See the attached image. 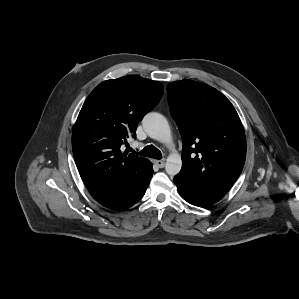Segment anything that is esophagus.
Returning a JSON list of instances; mask_svg holds the SVG:
<instances>
[{
  "label": "esophagus",
  "instance_id": "esophagus-1",
  "mask_svg": "<svg viewBox=\"0 0 299 299\" xmlns=\"http://www.w3.org/2000/svg\"><path fill=\"white\" fill-rule=\"evenodd\" d=\"M154 164L157 165L159 168H163L165 166V160H155Z\"/></svg>",
  "mask_w": 299,
  "mask_h": 299
}]
</instances>
